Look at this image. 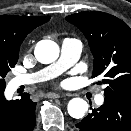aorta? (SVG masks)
Returning a JSON list of instances; mask_svg holds the SVG:
<instances>
[{"instance_id":"1","label":"aorta","mask_w":131,"mask_h":131,"mask_svg":"<svg viewBox=\"0 0 131 131\" xmlns=\"http://www.w3.org/2000/svg\"><path fill=\"white\" fill-rule=\"evenodd\" d=\"M59 56L58 45L51 40H41L35 47L36 59L43 63L48 64L54 62ZM68 113L71 117L80 119L88 110V104L82 98H73L67 105Z\"/></svg>"}]
</instances>
